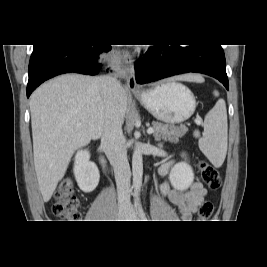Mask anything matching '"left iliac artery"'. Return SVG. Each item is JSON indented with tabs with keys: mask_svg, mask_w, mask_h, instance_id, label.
<instances>
[{
	"mask_svg": "<svg viewBox=\"0 0 267 267\" xmlns=\"http://www.w3.org/2000/svg\"><path fill=\"white\" fill-rule=\"evenodd\" d=\"M139 212H140L141 219L143 221H147V217H146V215H145V213H144V211H143L141 206H139Z\"/></svg>",
	"mask_w": 267,
	"mask_h": 267,
	"instance_id": "left-iliac-artery-1",
	"label": "left iliac artery"
}]
</instances>
